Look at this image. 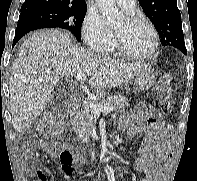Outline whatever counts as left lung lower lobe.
Segmentation results:
<instances>
[{
    "mask_svg": "<svg viewBox=\"0 0 197 181\" xmlns=\"http://www.w3.org/2000/svg\"><path fill=\"white\" fill-rule=\"evenodd\" d=\"M183 54H186V49H181Z\"/></svg>",
    "mask_w": 197,
    "mask_h": 181,
    "instance_id": "obj_1",
    "label": "left lung lower lobe"
}]
</instances>
